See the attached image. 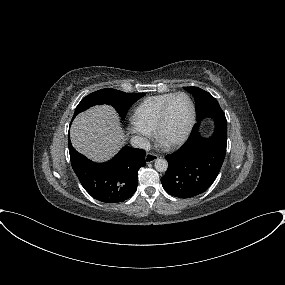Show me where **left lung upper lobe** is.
Masks as SVG:
<instances>
[{"mask_svg": "<svg viewBox=\"0 0 285 285\" xmlns=\"http://www.w3.org/2000/svg\"><path fill=\"white\" fill-rule=\"evenodd\" d=\"M189 93L194 96L196 102L197 118L202 116L211 108L220 107L217 100L208 92L198 87H184Z\"/></svg>", "mask_w": 285, "mask_h": 285, "instance_id": "obj_1", "label": "left lung upper lobe"}]
</instances>
